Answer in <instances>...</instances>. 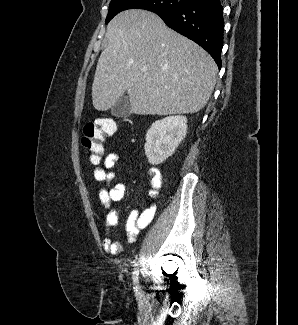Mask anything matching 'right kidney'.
Here are the masks:
<instances>
[{
    "mask_svg": "<svg viewBox=\"0 0 298 325\" xmlns=\"http://www.w3.org/2000/svg\"><path fill=\"white\" fill-rule=\"evenodd\" d=\"M187 116H165L152 122L146 132L145 154L150 165H161L163 160L172 156L187 132Z\"/></svg>",
    "mask_w": 298,
    "mask_h": 325,
    "instance_id": "obj_1",
    "label": "right kidney"
}]
</instances>
